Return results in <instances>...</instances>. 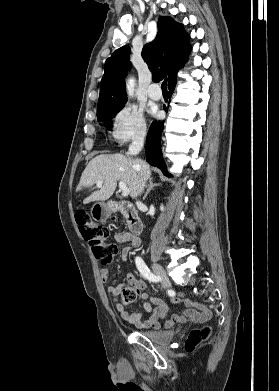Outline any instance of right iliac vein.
I'll return each instance as SVG.
<instances>
[{"mask_svg": "<svg viewBox=\"0 0 279 391\" xmlns=\"http://www.w3.org/2000/svg\"><path fill=\"white\" fill-rule=\"evenodd\" d=\"M152 269H153L154 273L161 279L163 287L165 289L170 287L169 278L166 274V271L163 269V267L160 264L153 262Z\"/></svg>", "mask_w": 279, "mask_h": 391, "instance_id": "obj_1", "label": "right iliac vein"}]
</instances>
